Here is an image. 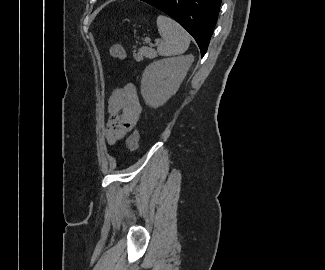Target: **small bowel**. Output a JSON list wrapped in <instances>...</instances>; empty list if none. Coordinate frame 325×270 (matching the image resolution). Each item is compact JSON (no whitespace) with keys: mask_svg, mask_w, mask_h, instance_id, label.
<instances>
[{"mask_svg":"<svg viewBox=\"0 0 325 270\" xmlns=\"http://www.w3.org/2000/svg\"><path fill=\"white\" fill-rule=\"evenodd\" d=\"M105 137L109 144L121 140L139 121L142 107L133 83L113 90L107 104Z\"/></svg>","mask_w":325,"mask_h":270,"instance_id":"obj_1","label":"small bowel"}]
</instances>
